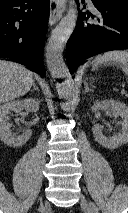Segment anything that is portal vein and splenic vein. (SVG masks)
I'll list each match as a JSON object with an SVG mask.
<instances>
[{"label":"portal vein and splenic vein","mask_w":128,"mask_h":213,"mask_svg":"<svg viewBox=\"0 0 128 213\" xmlns=\"http://www.w3.org/2000/svg\"><path fill=\"white\" fill-rule=\"evenodd\" d=\"M121 93L127 95V94L125 93V90H124V89H122Z\"/></svg>","instance_id":"18ae733b"}]
</instances>
